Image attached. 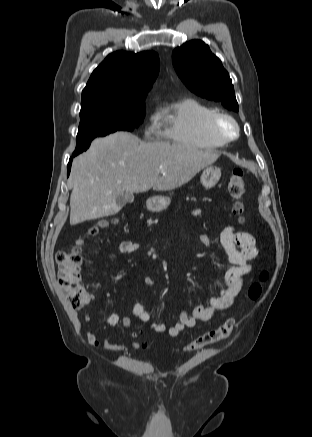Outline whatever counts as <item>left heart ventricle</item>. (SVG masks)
I'll return each mask as SVG.
<instances>
[{
  "label": "left heart ventricle",
  "mask_w": 312,
  "mask_h": 437,
  "mask_svg": "<svg viewBox=\"0 0 312 437\" xmlns=\"http://www.w3.org/2000/svg\"><path fill=\"white\" fill-rule=\"evenodd\" d=\"M220 128L223 132L230 134L233 132V127L231 126L230 123H228L227 121H222L220 123Z\"/></svg>",
  "instance_id": "obj_1"
}]
</instances>
